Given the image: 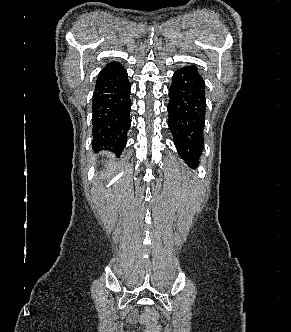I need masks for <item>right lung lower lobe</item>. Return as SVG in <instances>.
Segmentation results:
<instances>
[{"label":"right lung lower lobe","mask_w":291,"mask_h":332,"mask_svg":"<svg viewBox=\"0 0 291 332\" xmlns=\"http://www.w3.org/2000/svg\"><path fill=\"white\" fill-rule=\"evenodd\" d=\"M93 145L114 147L119 154L126 146L130 128V83L124 67L109 63L98 75L92 101Z\"/></svg>","instance_id":"98d812e1"}]
</instances>
